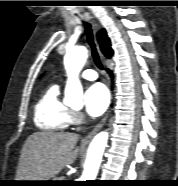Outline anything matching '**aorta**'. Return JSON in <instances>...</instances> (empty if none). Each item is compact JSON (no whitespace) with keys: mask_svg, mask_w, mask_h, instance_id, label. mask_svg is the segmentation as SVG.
<instances>
[{"mask_svg":"<svg viewBox=\"0 0 178 186\" xmlns=\"http://www.w3.org/2000/svg\"><path fill=\"white\" fill-rule=\"evenodd\" d=\"M87 49L79 46L67 50L64 65L68 80L65 88V101L70 104H82L83 88L78 75L86 59ZM108 141V132L98 133L91 141L81 180H95L102 161L103 152Z\"/></svg>","mask_w":178,"mask_h":186,"instance_id":"762f6f07","label":"aorta"}]
</instances>
